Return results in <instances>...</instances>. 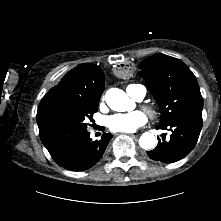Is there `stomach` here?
<instances>
[{
  "label": "stomach",
  "instance_id": "1",
  "mask_svg": "<svg viewBox=\"0 0 221 221\" xmlns=\"http://www.w3.org/2000/svg\"><path fill=\"white\" fill-rule=\"evenodd\" d=\"M136 68L135 62L128 59L117 63L114 70L119 78L128 79L134 76Z\"/></svg>",
  "mask_w": 221,
  "mask_h": 221
}]
</instances>
